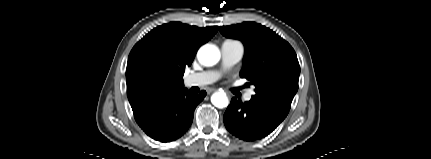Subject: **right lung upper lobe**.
<instances>
[{"mask_svg":"<svg viewBox=\"0 0 431 159\" xmlns=\"http://www.w3.org/2000/svg\"><path fill=\"white\" fill-rule=\"evenodd\" d=\"M217 30V26L199 28L170 22L146 34L133 47L127 62V96L133 113L184 89L185 68Z\"/></svg>","mask_w":431,"mask_h":159,"instance_id":"1","label":"right lung upper lobe"}]
</instances>
